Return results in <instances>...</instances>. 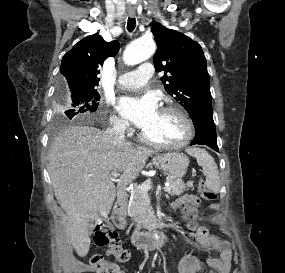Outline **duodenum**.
<instances>
[{
	"mask_svg": "<svg viewBox=\"0 0 285 273\" xmlns=\"http://www.w3.org/2000/svg\"><path fill=\"white\" fill-rule=\"evenodd\" d=\"M125 213V201L122 197L117 200L114 209V220L117 224L122 223ZM167 241V236L164 231L156 234L148 232H134L131 236V242L143 250L157 249L163 247Z\"/></svg>",
	"mask_w": 285,
	"mask_h": 273,
	"instance_id": "obj_1",
	"label": "duodenum"
}]
</instances>
